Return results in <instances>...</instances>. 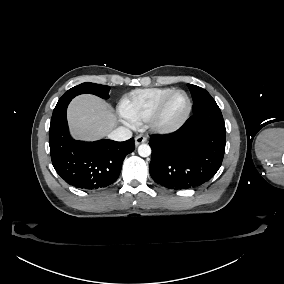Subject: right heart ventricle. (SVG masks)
<instances>
[{"label": "right heart ventricle", "instance_id": "e07e8e85", "mask_svg": "<svg viewBox=\"0 0 284 284\" xmlns=\"http://www.w3.org/2000/svg\"><path fill=\"white\" fill-rule=\"evenodd\" d=\"M173 89V87H150L132 90L121 97L119 112L128 123H141L146 120L159 100Z\"/></svg>", "mask_w": 284, "mask_h": 284}]
</instances>
